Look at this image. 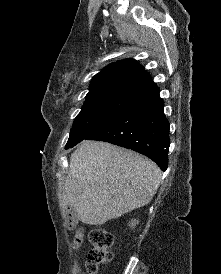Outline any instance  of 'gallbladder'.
<instances>
[{"mask_svg": "<svg viewBox=\"0 0 221 274\" xmlns=\"http://www.w3.org/2000/svg\"><path fill=\"white\" fill-rule=\"evenodd\" d=\"M70 219L74 224L78 223V216L74 208L70 209L69 211Z\"/></svg>", "mask_w": 221, "mask_h": 274, "instance_id": "1", "label": "gallbladder"}]
</instances>
